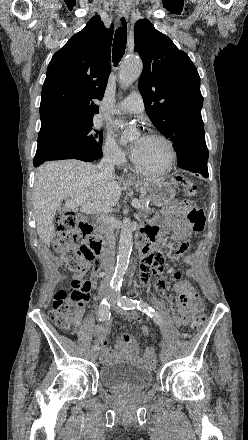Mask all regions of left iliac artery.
I'll list each match as a JSON object with an SVG mask.
<instances>
[{"label": "left iliac artery", "instance_id": "left-iliac-artery-1", "mask_svg": "<svg viewBox=\"0 0 248 440\" xmlns=\"http://www.w3.org/2000/svg\"><path fill=\"white\" fill-rule=\"evenodd\" d=\"M117 292V304L124 310H133L137 308L138 310L146 313L148 316L157 318V315L152 307H150L146 302L142 300L132 299L121 295L120 287L116 288Z\"/></svg>", "mask_w": 248, "mask_h": 440}]
</instances>
